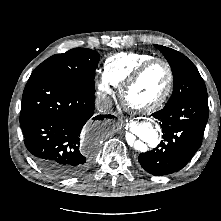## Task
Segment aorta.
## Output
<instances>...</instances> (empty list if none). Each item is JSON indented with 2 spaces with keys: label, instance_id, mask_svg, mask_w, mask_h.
<instances>
[{
  "label": "aorta",
  "instance_id": "762f6f07",
  "mask_svg": "<svg viewBox=\"0 0 221 221\" xmlns=\"http://www.w3.org/2000/svg\"><path fill=\"white\" fill-rule=\"evenodd\" d=\"M131 129L139 139L135 140L133 134H127L126 138L128 144L135 150L145 151V143H155L158 138V132L150 122H135Z\"/></svg>",
  "mask_w": 221,
  "mask_h": 221
}]
</instances>
